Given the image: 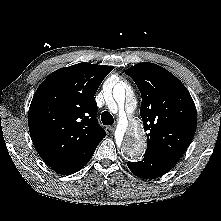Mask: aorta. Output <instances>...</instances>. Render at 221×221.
<instances>
[{"instance_id":"aorta-1","label":"aorta","mask_w":221,"mask_h":221,"mask_svg":"<svg viewBox=\"0 0 221 221\" xmlns=\"http://www.w3.org/2000/svg\"><path fill=\"white\" fill-rule=\"evenodd\" d=\"M104 96L108 104L111 100L117 104L121 117L124 113V104L129 113H132L137 105L133 91L122 81L115 83L112 91L107 88ZM122 130L125 133L124 137L118 140L121 150L127 157L138 160L143 155L146 147L143 124L141 121L135 120L129 128H122Z\"/></svg>"}]
</instances>
